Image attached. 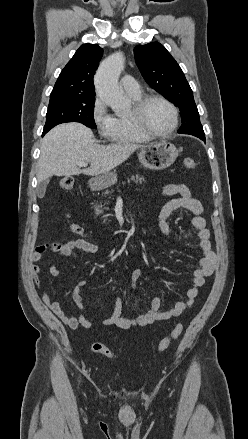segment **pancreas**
Wrapping results in <instances>:
<instances>
[{"mask_svg":"<svg viewBox=\"0 0 248 439\" xmlns=\"http://www.w3.org/2000/svg\"><path fill=\"white\" fill-rule=\"evenodd\" d=\"M131 179H132V180H136L137 182H138V181H139V182L144 181V177H140V176H138V175H136V176H132ZM128 181H129V179H128ZM112 192H113V190H111V191L106 190V191L104 192V194H105V195H108L109 193H112Z\"/></svg>","mask_w":248,"mask_h":439,"instance_id":"1","label":"pancreas"}]
</instances>
